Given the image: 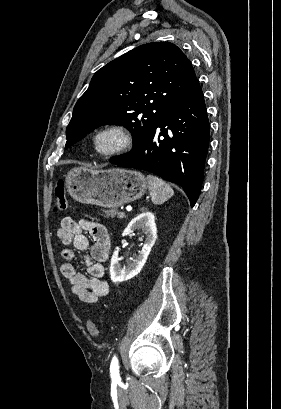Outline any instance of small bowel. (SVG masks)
I'll use <instances>...</instances> for the list:
<instances>
[{
	"label": "small bowel",
	"mask_w": 281,
	"mask_h": 409,
	"mask_svg": "<svg viewBox=\"0 0 281 409\" xmlns=\"http://www.w3.org/2000/svg\"><path fill=\"white\" fill-rule=\"evenodd\" d=\"M88 234V236H87ZM57 236L66 245L85 253L86 273H80L71 263L75 251L64 248L61 256L64 262L60 270L71 284V292L80 301L95 303L109 293L108 283L104 279V265L110 255V238L107 229L100 223L71 217H64L57 230Z\"/></svg>",
	"instance_id": "small-bowel-1"
}]
</instances>
